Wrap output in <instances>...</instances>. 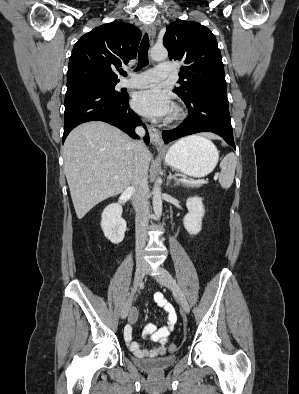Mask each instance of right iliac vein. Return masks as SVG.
Segmentation results:
<instances>
[{
  "label": "right iliac vein",
  "instance_id": "1",
  "mask_svg": "<svg viewBox=\"0 0 299 394\" xmlns=\"http://www.w3.org/2000/svg\"><path fill=\"white\" fill-rule=\"evenodd\" d=\"M146 271H147V266L145 264H137L136 272H135V279H134L133 293L128 298V300L126 301V303L122 309V312H121L122 319H125L127 317L128 313L130 311L131 305H132L134 293L137 291L139 285L141 284Z\"/></svg>",
  "mask_w": 299,
  "mask_h": 394
}]
</instances>
